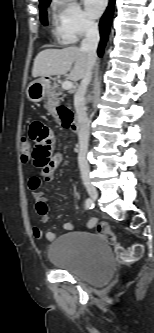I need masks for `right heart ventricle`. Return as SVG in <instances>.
Returning <instances> with one entry per match:
<instances>
[{"label": "right heart ventricle", "instance_id": "e07e8e85", "mask_svg": "<svg viewBox=\"0 0 154 333\" xmlns=\"http://www.w3.org/2000/svg\"><path fill=\"white\" fill-rule=\"evenodd\" d=\"M54 12H56V7L53 8Z\"/></svg>", "mask_w": 154, "mask_h": 333}]
</instances>
